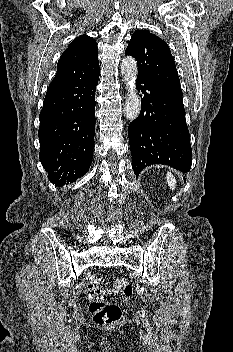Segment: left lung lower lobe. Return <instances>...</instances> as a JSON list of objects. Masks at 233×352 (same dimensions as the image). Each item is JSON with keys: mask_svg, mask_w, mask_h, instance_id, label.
Instances as JSON below:
<instances>
[{"mask_svg": "<svg viewBox=\"0 0 233 352\" xmlns=\"http://www.w3.org/2000/svg\"><path fill=\"white\" fill-rule=\"evenodd\" d=\"M136 88L144 95L140 114L128 127L135 175L153 164L190 171L192 149L183 99L139 76Z\"/></svg>", "mask_w": 233, "mask_h": 352, "instance_id": "obj_1", "label": "left lung lower lobe"}]
</instances>
